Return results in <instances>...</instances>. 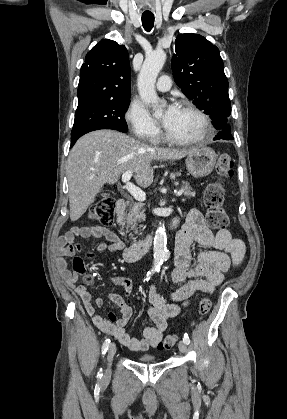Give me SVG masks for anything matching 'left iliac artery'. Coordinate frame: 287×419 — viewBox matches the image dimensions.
<instances>
[{"instance_id":"44dca946","label":"left iliac artery","mask_w":287,"mask_h":419,"mask_svg":"<svg viewBox=\"0 0 287 419\" xmlns=\"http://www.w3.org/2000/svg\"><path fill=\"white\" fill-rule=\"evenodd\" d=\"M183 341H184L186 344H189V343H190V339H189V337H188V334H187V333H185V334H184Z\"/></svg>"}]
</instances>
